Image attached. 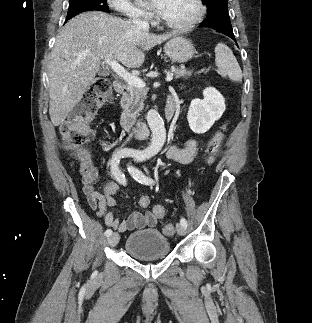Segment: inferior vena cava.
Here are the masks:
<instances>
[{
    "label": "inferior vena cava",
    "mask_w": 312,
    "mask_h": 323,
    "mask_svg": "<svg viewBox=\"0 0 312 323\" xmlns=\"http://www.w3.org/2000/svg\"><path fill=\"white\" fill-rule=\"evenodd\" d=\"M132 18V24H135L140 30H146V32H148L149 24L146 20H141V14H133Z\"/></svg>",
    "instance_id": "602c4592"
}]
</instances>
